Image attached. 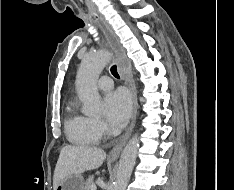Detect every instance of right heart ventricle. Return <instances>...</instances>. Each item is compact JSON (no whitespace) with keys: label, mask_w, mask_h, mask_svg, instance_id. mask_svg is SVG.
Instances as JSON below:
<instances>
[{"label":"right heart ventricle","mask_w":234,"mask_h":190,"mask_svg":"<svg viewBox=\"0 0 234 190\" xmlns=\"http://www.w3.org/2000/svg\"><path fill=\"white\" fill-rule=\"evenodd\" d=\"M65 131L68 140L76 145L92 146L100 140L93 119L80 112L73 101L69 102L66 107Z\"/></svg>","instance_id":"obj_1"}]
</instances>
